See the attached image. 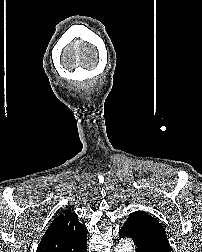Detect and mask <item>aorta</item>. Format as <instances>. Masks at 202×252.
<instances>
[{
  "label": "aorta",
  "instance_id": "obj_1",
  "mask_svg": "<svg viewBox=\"0 0 202 252\" xmlns=\"http://www.w3.org/2000/svg\"><path fill=\"white\" fill-rule=\"evenodd\" d=\"M115 252H133V244L129 239L121 240L116 248Z\"/></svg>",
  "mask_w": 202,
  "mask_h": 252
}]
</instances>
